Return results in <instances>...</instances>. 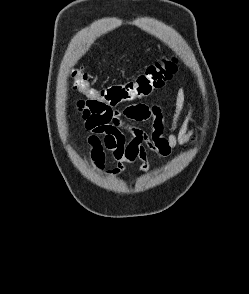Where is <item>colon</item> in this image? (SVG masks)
Wrapping results in <instances>:
<instances>
[{
    "mask_svg": "<svg viewBox=\"0 0 249 294\" xmlns=\"http://www.w3.org/2000/svg\"><path fill=\"white\" fill-rule=\"evenodd\" d=\"M176 69L177 63L174 59L162 57L149 65L135 79L102 89H95L90 85L82 67H76L73 70L72 78L75 89L87 98V102L92 105L114 107L149 96L153 91L162 88Z\"/></svg>",
    "mask_w": 249,
    "mask_h": 294,
    "instance_id": "5ec220e1",
    "label": "colon"
}]
</instances>
